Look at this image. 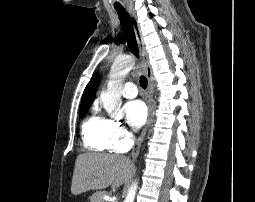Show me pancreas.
Masks as SVG:
<instances>
[{
    "label": "pancreas",
    "instance_id": "1",
    "mask_svg": "<svg viewBox=\"0 0 255 202\" xmlns=\"http://www.w3.org/2000/svg\"><path fill=\"white\" fill-rule=\"evenodd\" d=\"M106 191H96L90 198V202H105L103 196L106 195Z\"/></svg>",
    "mask_w": 255,
    "mask_h": 202
}]
</instances>
